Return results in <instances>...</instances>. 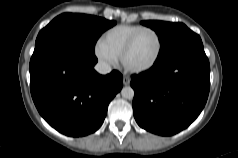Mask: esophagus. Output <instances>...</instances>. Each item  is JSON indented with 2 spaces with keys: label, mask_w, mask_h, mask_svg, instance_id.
<instances>
[{
  "label": "esophagus",
  "mask_w": 238,
  "mask_h": 158,
  "mask_svg": "<svg viewBox=\"0 0 238 158\" xmlns=\"http://www.w3.org/2000/svg\"><path fill=\"white\" fill-rule=\"evenodd\" d=\"M123 84L126 85V86L129 85L130 84V78L125 76L123 78Z\"/></svg>",
  "instance_id": "34e87169"
}]
</instances>
